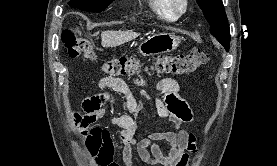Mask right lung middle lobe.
<instances>
[{"mask_svg":"<svg viewBox=\"0 0 277 166\" xmlns=\"http://www.w3.org/2000/svg\"><path fill=\"white\" fill-rule=\"evenodd\" d=\"M114 0H71L68 4L72 8L90 12H101Z\"/></svg>","mask_w":277,"mask_h":166,"instance_id":"right-lung-middle-lobe-1","label":"right lung middle lobe"}]
</instances>
